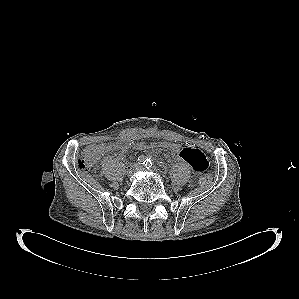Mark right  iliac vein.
Segmentation results:
<instances>
[{"instance_id":"63e3f726","label":"right iliac vein","mask_w":299,"mask_h":299,"mask_svg":"<svg viewBox=\"0 0 299 299\" xmlns=\"http://www.w3.org/2000/svg\"><path fill=\"white\" fill-rule=\"evenodd\" d=\"M137 168H138V166L136 164L129 165L127 172H126L127 176L131 177L134 174V172L137 170Z\"/></svg>"}]
</instances>
